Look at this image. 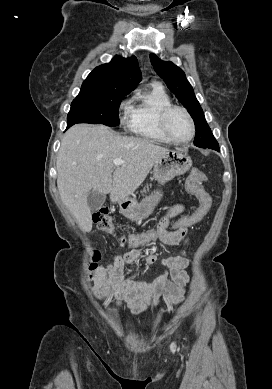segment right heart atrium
Returning <instances> with one entry per match:
<instances>
[{
	"label": "right heart atrium",
	"instance_id": "d8ad5b80",
	"mask_svg": "<svg viewBox=\"0 0 272 389\" xmlns=\"http://www.w3.org/2000/svg\"><path fill=\"white\" fill-rule=\"evenodd\" d=\"M120 107H121V109H124V110L128 109L129 108V102L128 101L122 102Z\"/></svg>",
	"mask_w": 272,
	"mask_h": 389
}]
</instances>
